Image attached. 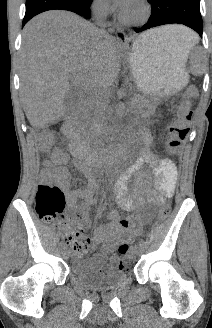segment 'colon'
<instances>
[{"label":"colon","instance_id":"obj_1","mask_svg":"<svg viewBox=\"0 0 212 328\" xmlns=\"http://www.w3.org/2000/svg\"><path fill=\"white\" fill-rule=\"evenodd\" d=\"M198 90L196 87H189L185 93V99L181 104V115L171 125L169 129L168 148L172 153H178L182 144L190 130L192 119L191 106L198 98ZM53 143L52 135H45L40 140V149L47 151ZM65 207V195L63 190L56 184L45 183L37 187L35 196V209L38 217L49 224L58 226L61 222L58 216L62 214ZM170 205L165 204L158 213L160 220H165L170 214ZM62 239L70 245L75 253L83 252L87 248L88 240L83 235L82 230L66 231L62 235ZM130 248L127 243L119 246V252L123 258L120 267L125 268L124 258L129 254Z\"/></svg>","mask_w":212,"mask_h":328}]
</instances>
